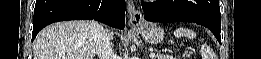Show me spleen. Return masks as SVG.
Instances as JSON below:
<instances>
[{"label": "spleen", "mask_w": 261, "mask_h": 59, "mask_svg": "<svg viewBox=\"0 0 261 59\" xmlns=\"http://www.w3.org/2000/svg\"><path fill=\"white\" fill-rule=\"evenodd\" d=\"M174 35L176 37H185L189 39H194L197 36V34L193 30L183 27L177 28L174 31ZM201 54L203 59H210L213 56L212 50L206 44H202Z\"/></svg>", "instance_id": "spleen-1"}]
</instances>
